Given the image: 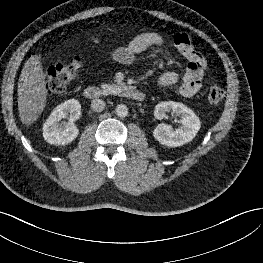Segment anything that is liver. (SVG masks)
Here are the masks:
<instances>
[{"label": "liver", "instance_id": "6515ba94", "mask_svg": "<svg viewBox=\"0 0 263 263\" xmlns=\"http://www.w3.org/2000/svg\"><path fill=\"white\" fill-rule=\"evenodd\" d=\"M47 89L40 55H32L24 64L18 82V111L25 126L34 123L46 105Z\"/></svg>", "mask_w": 263, "mask_h": 263}]
</instances>
